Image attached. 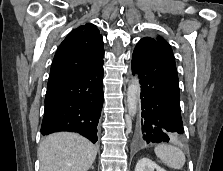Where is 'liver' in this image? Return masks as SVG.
<instances>
[{"mask_svg": "<svg viewBox=\"0 0 223 171\" xmlns=\"http://www.w3.org/2000/svg\"><path fill=\"white\" fill-rule=\"evenodd\" d=\"M37 155L40 171H88L97 148L79 134L58 132L40 143Z\"/></svg>", "mask_w": 223, "mask_h": 171, "instance_id": "obj_1", "label": "liver"}]
</instances>
